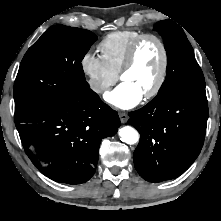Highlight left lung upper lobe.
Returning <instances> with one entry per match:
<instances>
[{
	"label": "left lung upper lobe",
	"mask_w": 221,
	"mask_h": 221,
	"mask_svg": "<svg viewBox=\"0 0 221 221\" xmlns=\"http://www.w3.org/2000/svg\"><path fill=\"white\" fill-rule=\"evenodd\" d=\"M167 51V75L158 93L168 89H186L205 93V80L184 31L171 20L154 25Z\"/></svg>",
	"instance_id": "obj_1"
}]
</instances>
